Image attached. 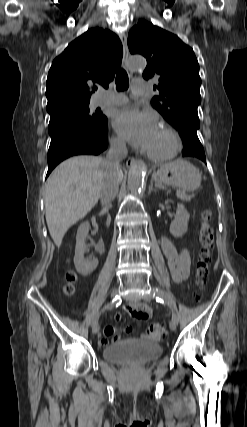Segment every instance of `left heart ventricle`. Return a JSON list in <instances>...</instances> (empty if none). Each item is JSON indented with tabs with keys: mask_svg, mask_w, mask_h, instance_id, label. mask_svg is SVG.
I'll return each instance as SVG.
<instances>
[{
	"mask_svg": "<svg viewBox=\"0 0 247 427\" xmlns=\"http://www.w3.org/2000/svg\"><path fill=\"white\" fill-rule=\"evenodd\" d=\"M170 144L171 140L168 134L162 129L157 128L147 150L163 152L169 148Z\"/></svg>",
	"mask_w": 247,
	"mask_h": 427,
	"instance_id": "left-heart-ventricle-1",
	"label": "left heart ventricle"
}]
</instances>
